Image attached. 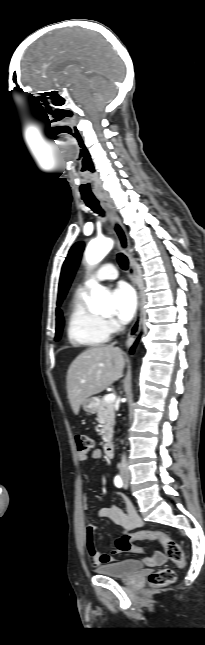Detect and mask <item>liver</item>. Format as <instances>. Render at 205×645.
Listing matches in <instances>:
<instances>
[{"mask_svg":"<svg viewBox=\"0 0 205 645\" xmlns=\"http://www.w3.org/2000/svg\"><path fill=\"white\" fill-rule=\"evenodd\" d=\"M124 353L112 345H96L71 363L67 372V394L75 415L91 396L119 380L125 367Z\"/></svg>","mask_w":205,"mask_h":645,"instance_id":"6515ba94","label":"liver"}]
</instances>
